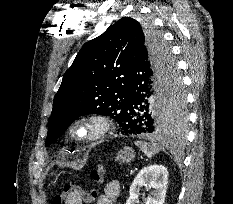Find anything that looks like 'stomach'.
Returning a JSON list of instances; mask_svg holds the SVG:
<instances>
[{"label": "stomach", "instance_id": "obj_1", "mask_svg": "<svg viewBox=\"0 0 233 204\" xmlns=\"http://www.w3.org/2000/svg\"><path fill=\"white\" fill-rule=\"evenodd\" d=\"M135 151L131 147H124L116 156V161L120 163H130L135 159Z\"/></svg>", "mask_w": 233, "mask_h": 204}]
</instances>
